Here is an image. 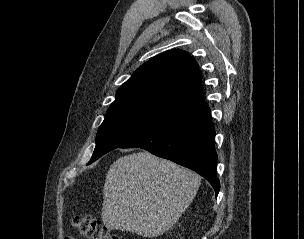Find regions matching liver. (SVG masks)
I'll list each match as a JSON object with an SVG mask.
<instances>
[{"label":"liver","instance_id":"6515ba94","mask_svg":"<svg viewBox=\"0 0 304 239\" xmlns=\"http://www.w3.org/2000/svg\"><path fill=\"white\" fill-rule=\"evenodd\" d=\"M200 182L195 172L146 151L120 157L106 174L102 220L110 230L160 236L185 212Z\"/></svg>","mask_w":304,"mask_h":239}]
</instances>
